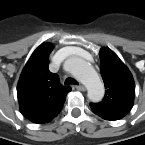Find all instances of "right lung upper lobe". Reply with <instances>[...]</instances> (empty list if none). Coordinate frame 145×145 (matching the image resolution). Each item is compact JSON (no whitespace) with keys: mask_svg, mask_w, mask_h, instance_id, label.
Listing matches in <instances>:
<instances>
[{"mask_svg":"<svg viewBox=\"0 0 145 145\" xmlns=\"http://www.w3.org/2000/svg\"><path fill=\"white\" fill-rule=\"evenodd\" d=\"M49 43L41 44L25 65L17 86L20 111L34 123L43 124L56 117L71 91L60 84L59 76L49 71Z\"/></svg>","mask_w":145,"mask_h":145,"instance_id":"1","label":"right lung upper lobe"}]
</instances>
